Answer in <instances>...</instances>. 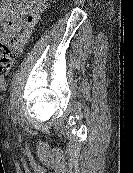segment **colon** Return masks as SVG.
I'll list each match as a JSON object with an SVG mask.
<instances>
[{
  "mask_svg": "<svg viewBox=\"0 0 133 173\" xmlns=\"http://www.w3.org/2000/svg\"><path fill=\"white\" fill-rule=\"evenodd\" d=\"M17 53L14 45L0 42V74H6L14 67Z\"/></svg>",
  "mask_w": 133,
  "mask_h": 173,
  "instance_id": "colon-1",
  "label": "colon"
}]
</instances>
